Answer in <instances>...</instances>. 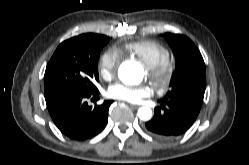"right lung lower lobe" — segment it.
Instances as JSON below:
<instances>
[{
  "label": "right lung lower lobe",
  "instance_id": "obj_1",
  "mask_svg": "<svg viewBox=\"0 0 249 165\" xmlns=\"http://www.w3.org/2000/svg\"><path fill=\"white\" fill-rule=\"evenodd\" d=\"M98 90L85 92L56 87L45 88L48 111L58 129L73 140L83 141L100 133L106 126L112 100L94 108L87 98L98 95Z\"/></svg>",
  "mask_w": 249,
  "mask_h": 165
}]
</instances>
